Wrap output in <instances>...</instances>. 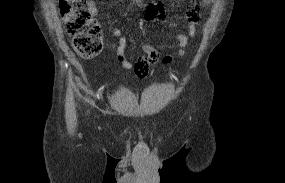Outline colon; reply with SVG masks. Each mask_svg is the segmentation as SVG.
Listing matches in <instances>:
<instances>
[{"label":"colon","instance_id":"1","mask_svg":"<svg viewBox=\"0 0 285 183\" xmlns=\"http://www.w3.org/2000/svg\"><path fill=\"white\" fill-rule=\"evenodd\" d=\"M82 0H60L59 11L66 31L72 35V46L78 55L90 58L102 48L103 31L99 23L93 20L91 13L81 7ZM135 73L143 78L148 69L145 64H137Z\"/></svg>","mask_w":285,"mask_h":183}]
</instances>
